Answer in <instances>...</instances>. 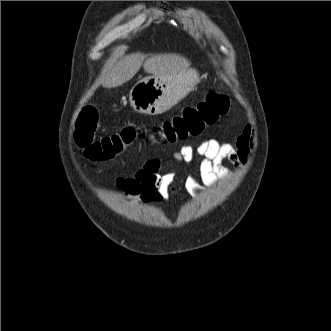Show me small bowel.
Listing matches in <instances>:
<instances>
[{
	"label": "small bowel",
	"mask_w": 331,
	"mask_h": 331,
	"mask_svg": "<svg viewBox=\"0 0 331 331\" xmlns=\"http://www.w3.org/2000/svg\"><path fill=\"white\" fill-rule=\"evenodd\" d=\"M253 147V129L251 126H246L235 145L220 144L214 139H207L196 147L182 146L173 154V158L183 163L196 162V171L187 177L185 187L191 194L197 195L208 187L217 186L223 178L231 175L230 171L222 166L224 160H228L236 169H240L247 162ZM175 178V173L162 171L159 159L152 158L146 160L132 176L117 177L116 185L128 197L142 203H155L169 197L173 191Z\"/></svg>",
	"instance_id": "1"
}]
</instances>
